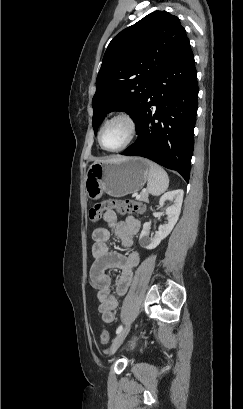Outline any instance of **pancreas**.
Here are the masks:
<instances>
[{
  "mask_svg": "<svg viewBox=\"0 0 243 409\" xmlns=\"http://www.w3.org/2000/svg\"><path fill=\"white\" fill-rule=\"evenodd\" d=\"M139 200L147 202L148 201V193L144 192V193L140 194Z\"/></svg>",
  "mask_w": 243,
  "mask_h": 409,
  "instance_id": "obj_1",
  "label": "pancreas"
}]
</instances>
